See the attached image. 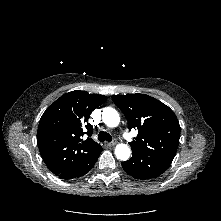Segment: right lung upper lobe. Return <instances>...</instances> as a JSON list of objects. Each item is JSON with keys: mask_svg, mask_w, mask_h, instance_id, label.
<instances>
[{"mask_svg": "<svg viewBox=\"0 0 221 221\" xmlns=\"http://www.w3.org/2000/svg\"><path fill=\"white\" fill-rule=\"evenodd\" d=\"M106 96L75 90L64 94L43 113L37 131L40 154L55 175L102 147L90 137V113L104 103ZM87 139H83L84 135Z\"/></svg>", "mask_w": 221, "mask_h": 221, "instance_id": "obj_1", "label": "right lung upper lobe"}]
</instances>
